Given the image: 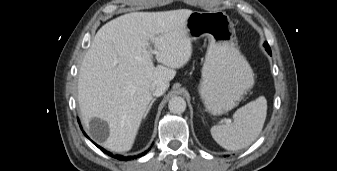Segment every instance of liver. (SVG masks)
<instances>
[{
  "mask_svg": "<svg viewBox=\"0 0 337 171\" xmlns=\"http://www.w3.org/2000/svg\"><path fill=\"white\" fill-rule=\"evenodd\" d=\"M192 12L128 13L96 33L80 67L78 102L87 128L94 117L107 122L105 148L115 152L132 148L153 98L151 84L161 80L168 85L175 69L191 58L186 21ZM153 54L162 65L154 66Z\"/></svg>",
  "mask_w": 337,
  "mask_h": 171,
  "instance_id": "6515ba94",
  "label": "liver"
}]
</instances>
